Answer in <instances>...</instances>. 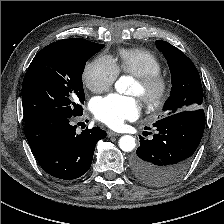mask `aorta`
Masks as SVG:
<instances>
[{"label": "aorta", "instance_id": "obj_1", "mask_svg": "<svg viewBox=\"0 0 224 224\" xmlns=\"http://www.w3.org/2000/svg\"><path fill=\"white\" fill-rule=\"evenodd\" d=\"M130 85L128 77L122 76L115 83V88L119 93H125L127 87ZM136 146L135 138L130 135H124L119 139V147L122 151L131 152Z\"/></svg>", "mask_w": 224, "mask_h": 224}]
</instances>
